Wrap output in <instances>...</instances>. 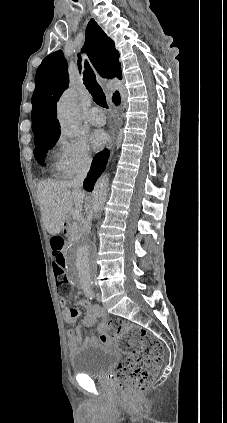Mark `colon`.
<instances>
[{
	"mask_svg": "<svg viewBox=\"0 0 227 423\" xmlns=\"http://www.w3.org/2000/svg\"><path fill=\"white\" fill-rule=\"evenodd\" d=\"M63 239H51L54 256L53 272L61 294H68L72 287L64 267ZM120 348L127 356L116 370V380L121 390L131 396L144 393L154 382L163 362L161 342L147 329L136 325H122L118 329Z\"/></svg>",
	"mask_w": 227,
	"mask_h": 423,
	"instance_id": "5ec220e1",
	"label": "colon"
}]
</instances>
